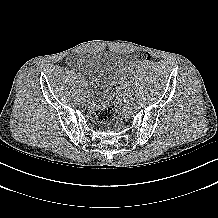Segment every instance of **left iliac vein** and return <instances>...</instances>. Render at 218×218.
Segmentation results:
<instances>
[{"label":"left iliac vein","instance_id":"obj_1","mask_svg":"<svg viewBox=\"0 0 218 218\" xmlns=\"http://www.w3.org/2000/svg\"><path fill=\"white\" fill-rule=\"evenodd\" d=\"M128 101H129V102H133V101H134V98H133V97H129V98H128Z\"/></svg>","mask_w":218,"mask_h":218}]
</instances>
